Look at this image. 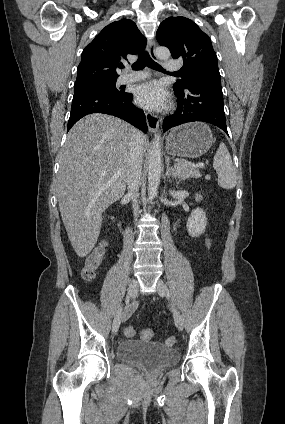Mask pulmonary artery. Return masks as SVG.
Masks as SVG:
<instances>
[{"label":"pulmonary artery","instance_id":"1","mask_svg":"<svg viewBox=\"0 0 285 424\" xmlns=\"http://www.w3.org/2000/svg\"><path fill=\"white\" fill-rule=\"evenodd\" d=\"M165 68L168 72H174V71L179 70L181 68V66H180L178 61L167 60L165 62ZM147 77H148V73H146V72H137V73H132V74H125V75H122L119 78L118 82L120 84H125V83L140 81V80H143Z\"/></svg>","mask_w":285,"mask_h":424}]
</instances>
